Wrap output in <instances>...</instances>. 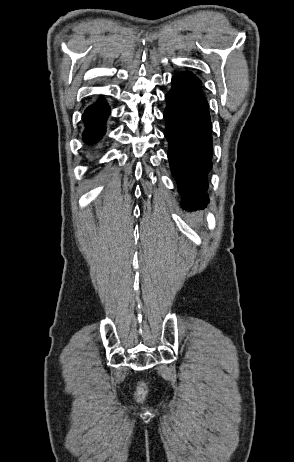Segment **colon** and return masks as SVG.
<instances>
[{
	"label": "colon",
	"instance_id": "1",
	"mask_svg": "<svg viewBox=\"0 0 294 462\" xmlns=\"http://www.w3.org/2000/svg\"><path fill=\"white\" fill-rule=\"evenodd\" d=\"M139 391H140V394H142V393H143V388H140V390H139Z\"/></svg>",
	"mask_w": 294,
	"mask_h": 462
}]
</instances>
